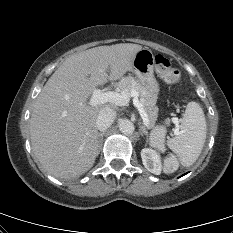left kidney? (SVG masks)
<instances>
[{
    "mask_svg": "<svg viewBox=\"0 0 233 233\" xmlns=\"http://www.w3.org/2000/svg\"><path fill=\"white\" fill-rule=\"evenodd\" d=\"M141 158L144 167L151 173L159 175L162 170V164L159 153L150 148H144L141 151Z\"/></svg>",
    "mask_w": 233,
    "mask_h": 233,
    "instance_id": "left-kidney-1",
    "label": "left kidney"
}]
</instances>
